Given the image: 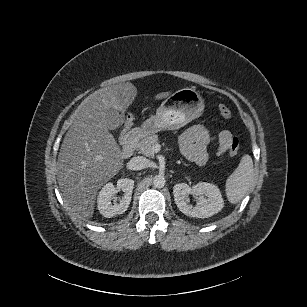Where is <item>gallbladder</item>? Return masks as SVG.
I'll return each mask as SVG.
<instances>
[{
	"instance_id": "bac80fb5",
	"label": "gallbladder",
	"mask_w": 307,
	"mask_h": 307,
	"mask_svg": "<svg viewBox=\"0 0 307 307\" xmlns=\"http://www.w3.org/2000/svg\"><path fill=\"white\" fill-rule=\"evenodd\" d=\"M106 120H107L106 124L107 129L112 130V132H115V129L119 127L120 122L119 120H117V113L114 111L112 107H109L107 109Z\"/></svg>"
}]
</instances>
